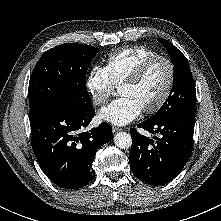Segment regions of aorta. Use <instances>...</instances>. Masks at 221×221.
<instances>
[{"label": "aorta", "mask_w": 221, "mask_h": 221, "mask_svg": "<svg viewBox=\"0 0 221 221\" xmlns=\"http://www.w3.org/2000/svg\"><path fill=\"white\" fill-rule=\"evenodd\" d=\"M114 143L121 149H127L132 146V138L126 132H119L114 136Z\"/></svg>", "instance_id": "obj_1"}]
</instances>
